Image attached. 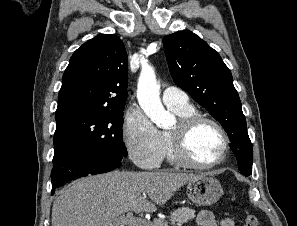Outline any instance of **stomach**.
<instances>
[{"mask_svg": "<svg viewBox=\"0 0 297 226\" xmlns=\"http://www.w3.org/2000/svg\"><path fill=\"white\" fill-rule=\"evenodd\" d=\"M186 191L188 198L199 206L212 205L223 194V188L219 180L207 175L188 182Z\"/></svg>", "mask_w": 297, "mask_h": 226, "instance_id": "0dacf381", "label": "stomach"}]
</instances>
